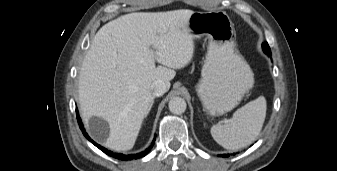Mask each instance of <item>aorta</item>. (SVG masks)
<instances>
[{
	"mask_svg": "<svg viewBox=\"0 0 337 171\" xmlns=\"http://www.w3.org/2000/svg\"><path fill=\"white\" fill-rule=\"evenodd\" d=\"M169 110L173 114L180 115L185 112L187 104L186 101L181 97H173L169 101Z\"/></svg>",
	"mask_w": 337,
	"mask_h": 171,
	"instance_id": "762f6f07",
	"label": "aorta"
}]
</instances>
